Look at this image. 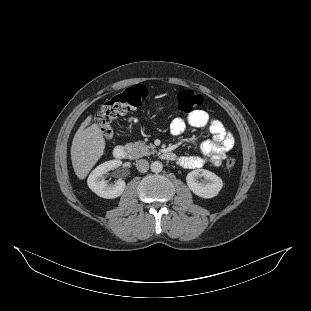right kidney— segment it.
<instances>
[{"label": "right kidney", "mask_w": 311, "mask_h": 311, "mask_svg": "<svg viewBox=\"0 0 311 311\" xmlns=\"http://www.w3.org/2000/svg\"><path fill=\"white\" fill-rule=\"evenodd\" d=\"M122 165L121 160L106 161L97 166L89 175L87 184L89 188L98 196L112 199L120 196L125 189V181L119 179L115 184H107L103 175L108 171Z\"/></svg>", "instance_id": "obj_1"}]
</instances>
